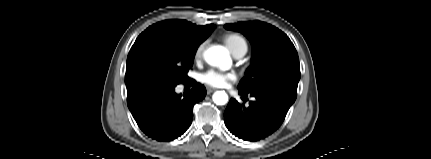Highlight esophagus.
Masks as SVG:
<instances>
[{
  "label": "esophagus",
  "mask_w": 431,
  "mask_h": 159,
  "mask_svg": "<svg viewBox=\"0 0 431 159\" xmlns=\"http://www.w3.org/2000/svg\"><path fill=\"white\" fill-rule=\"evenodd\" d=\"M215 91V89L214 88H207V94H210V93H212V92H214Z\"/></svg>",
  "instance_id": "34e87169"
}]
</instances>
